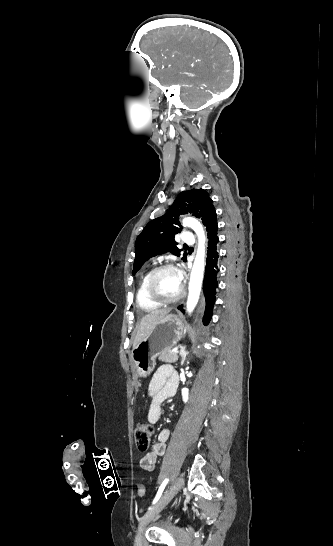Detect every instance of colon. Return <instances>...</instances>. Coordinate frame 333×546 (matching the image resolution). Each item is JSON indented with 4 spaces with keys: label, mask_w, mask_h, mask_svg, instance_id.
<instances>
[{
    "label": "colon",
    "mask_w": 333,
    "mask_h": 546,
    "mask_svg": "<svg viewBox=\"0 0 333 546\" xmlns=\"http://www.w3.org/2000/svg\"><path fill=\"white\" fill-rule=\"evenodd\" d=\"M153 436V428L149 424H139L135 429V444L139 451L143 452L149 448L150 442ZM138 495L143 497L145 495V487L139 485Z\"/></svg>",
    "instance_id": "5ec220e1"
}]
</instances>
